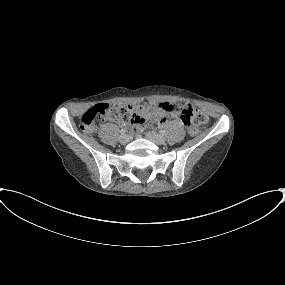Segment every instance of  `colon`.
<instances>
[{"instance_id": "5ec220e1", "label": "colon", "mask_w": 285, "mask_h": 285, "mask_svg": "<svg viewBox=\"0 0 285 285\" xmlns=\"http://www.w3.org/2000/svg\"><path fill=\"white\" fill-rule=\"evenodd\" d=\"M155 110V104L143 105H114L100 103L87 109L80 117V128L85 133H93L96 129V122L99 121H121L135 122L140 116ZM172 110L179 114L181 120L195 128L196 125L207 123L208 116L195 109L188 103L175 104Z\"/></svg>"}]
</instances>
